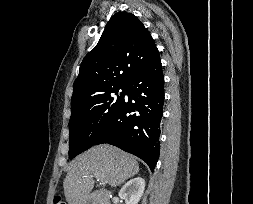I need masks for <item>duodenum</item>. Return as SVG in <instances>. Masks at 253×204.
Returning <instances> with one entry per match:
<instances>
[{"label": "duodenum", "mask_w": 253, "mask_h": 204, "mask_svg": "<svg viewBox=\"0 0 253 204\" xmlns=\"http://www.w3.org/2000/svg\"><path fill=\"white\" fill-rule=\"evenodd\" d=\"M84 204H111V193L106 190H98L89 195Z\"/></svg>", "instance_id": "duodenum-1"}]
</instances>
